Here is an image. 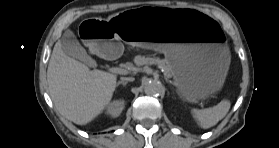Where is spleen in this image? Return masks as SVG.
<instances>
[{
	"instance_id": "3e777b00",
	"label": "spleen",
	"mask_w": 279,
	"mask_h": 148,
	"mask_svg": "<svg viewBox=\"0 0 279 148\" xmlns=\"http://www.w3.org/2000/svg\"><path fill=\"white\" fill-rule=\"evenodd\" d=\"M229 108L230 102L228 100H223L211 108L204 110L193 109L191 113L201 128L208 129L222 120L228 113Z\"/></svg>"
}]
</instances>
